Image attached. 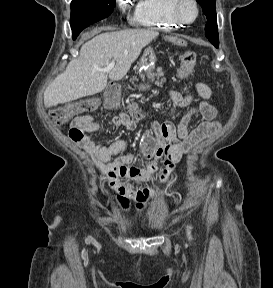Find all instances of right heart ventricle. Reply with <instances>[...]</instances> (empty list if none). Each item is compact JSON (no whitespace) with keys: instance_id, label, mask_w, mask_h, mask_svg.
Listing matches in <instances>:
<instances>
[{"instance_id":"e07e8e85","label":"right heart ventricle","mask_w":273,"mask_h":288,"mask_svg":"<svg viewBox=\"0 0 273 288\" xmlns=\"http://www.w3.org/2000/svg\"><path fill=\"white\" fill-rule=\"evenodd\" d=\"M171 0H137L132 23L150 29L171 30L181 25L170 13Z\"/></svg>"}]
</instances>
